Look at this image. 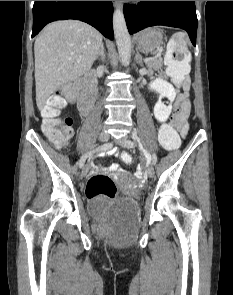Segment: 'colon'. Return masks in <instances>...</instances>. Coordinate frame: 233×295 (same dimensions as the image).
I'll return each instance as SVG.
<instances>
[{
	"mask_svg": "<svg viewBox=\"0 0 233 295\" xmlns=\"http://www.w3.org/2000/svg\"><path fill=\"white\" fill-rule=\"evenodd\" d=\"M189 62L190 55L184 45V39L178 36V39L169 47L166 66L172 81L184 89L188 88ZM80 88L79 81L69 82L48 99L43 109V132L55 146L65 145L72 136V120L65 114V98L77 95ZM159 143L165 150L174 151L180 146V137L173 127L164 124L159 130ZM121 160L128 165L131 164L132 157L124 152L121 154ZM116 192L117 188L113 180L103 174L92 175L86 185L88 198L98 202L113 200Z\"/></svg>",
	"mask_w": 233,
	"mask_h": 295,
	"instance_id": "1",
	"label": "colon"
}]
</instances>
